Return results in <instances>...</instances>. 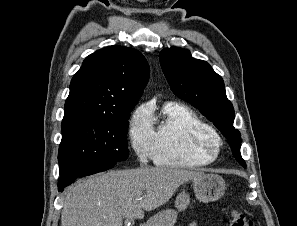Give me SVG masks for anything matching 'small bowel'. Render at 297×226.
<instances>
[{
    "instance_id": "c3829d8e",
    "label": "small bowel",
    "mask_w": 297,
    "mask_h": 226,
    "mask_svg": "<svg viewBox=\"0 0 297 226\" xmlns=\"http://www.w3.org/2000/svg\"><path fill=\"white\" fill-rule=\"evenodd\" d=\"M188 226H198L197 222H191Z\"/></svg>"
}]
</instances>
